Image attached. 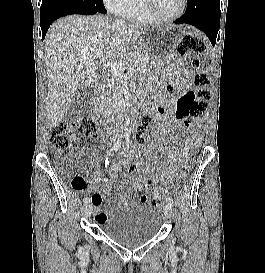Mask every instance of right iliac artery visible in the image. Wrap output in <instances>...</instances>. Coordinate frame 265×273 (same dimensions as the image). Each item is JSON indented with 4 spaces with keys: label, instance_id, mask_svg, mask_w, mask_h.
I'll return each mask as SVG.
<instances>
[{
    "label": "right iliac artery",
    "instance_id": "82829eb1",
    "mask_svg": "<svg viewBox=\"0 0 265 273\" xmlns=\"http://www.w3.org/2000/svg\"><path fill=\"white\" fill-rule=\"evenodd\" d=\"M121 142L120 141H117V143L114 145L113 147V150L117 151L119 146H120ZM84 204L87 205L88 203H90V198L89 197H86L84 198Z\"/></svg>",
    "mask_w": 265,
    "mask_h": 273
}]
</instances>
